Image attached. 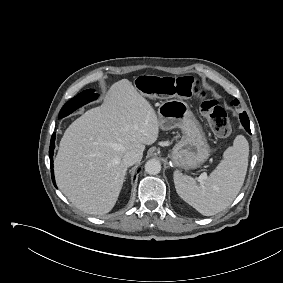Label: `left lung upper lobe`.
<instances>
[{"label":"left lung upper lobe","mask_w":283,"mask_h":283,"mask_svg":"<svg viewBox=\"0 0 283 283\" xmlns=\"http://www.w3.org/2000/svg\"><path fill=\"white\" fill-rule=\"evenodd\" d=\"M234 105H238L239 104V101L236 99L232 102Z\"/></svg>","instance_id":"5c2ea615"}]
</instances>
